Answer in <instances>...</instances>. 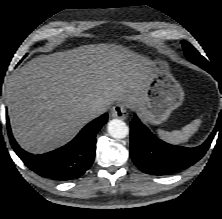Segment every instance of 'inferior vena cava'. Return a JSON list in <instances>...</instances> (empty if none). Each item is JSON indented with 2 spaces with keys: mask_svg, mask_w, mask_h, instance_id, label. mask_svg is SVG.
Listing matches in <instances>:
<instances>
[{
  "mask_svg": "<svg viewBox=\"0 0 222 219\" xmlns=\"http://www.w3.org/2000/svg\"><path fill=\"white\" fill-rule=\"evenodd\" d=\"M108 110L107 106L97 105L91 109V114L95 117L105 113Z\"/></svg>",
  "mask_w": 222,
  "mask_h": 219,
  "instance_id": "1",
  "label": "inferior vena cava"
}]
</instances>
